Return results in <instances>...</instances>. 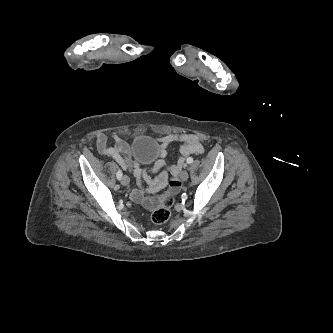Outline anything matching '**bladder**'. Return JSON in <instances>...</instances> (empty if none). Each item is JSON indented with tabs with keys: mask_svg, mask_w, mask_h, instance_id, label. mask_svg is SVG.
I'll return each instance as SVG.
<instances>
[{
	"mask_svg": "<svg viewBox=\"0 0 333 333\" xmlns=\"http://www.w3.org/2000/svg\"><path fill=\"white\" fill-rule=\"evenodd\" d=\"M132 151L138 161L148 163L154 161L159 156L160 144L152 136L140 135L134 139Z\"/></svg>",
	"mask_w": 333,
	"mask_h": 333,
	"instance_id": "obj_1",
	"label": "bladder"
}]
</instances>
